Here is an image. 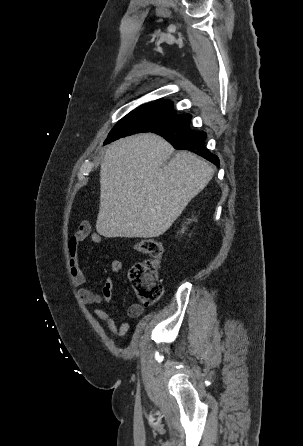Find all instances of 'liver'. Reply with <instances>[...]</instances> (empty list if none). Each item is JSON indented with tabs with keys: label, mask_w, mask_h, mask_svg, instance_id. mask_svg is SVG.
I'll use <instances>...</instances> for the list:
<instances>
[{
	"label": "liver",
	"mask_w": 303,
	"mask_h": 446,
	"mask_svg": "<svg viewBox=\"0 0 303 446\" xmlns=\"http://www.w3.org/2000/svg\"><path fill=\"white\" fill-rule=\"evenodd\" d=\"M162 137L138 134L106 149L100 170L97 232L108 238H154L165 233L212 179L214 170ZM170 159L169 162H167Z\"/></svg>",
	"instance_id": "1"
}]
</instances>
